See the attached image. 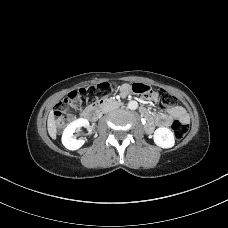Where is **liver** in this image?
Wrapping results in <instances>:
<instances>
[{
  "label": "liver",
  "mask_w": 228,
  "mask_h": 228,
  "mask_svg": "<svg viewBox=\"0 0 228 228\" xmlns=\"http://www.w3.org/2000/svg\"><path fill=\"white\" fill-rule=\"evenodd\" d=\"M47 128H48V133L50 137L52 139H56L57 129H56V123H55L53 111H50L49 113L48 120H47Z\"/></svg>",
  "instance_id": "1"
}]
</instances>
